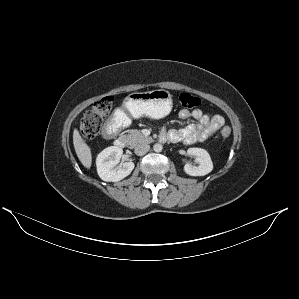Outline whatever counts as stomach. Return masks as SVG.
Masks as SVG:
<instances>
[{
    "instance_id": "obj_1",
    "label": "stomach",
    "mask_w": 299,
    "mask_h": 299,
    "mask_svg": "<svg viewBox=\"0 0 299 299\" xmlns=\"http://www.w3.org/2000/svg\"><path fill=\"white\" fill-rule=\"evenodd\" d=\"M123 109L133 117L149 116L161 119L172 109V96L163 89L129 94L123 102Z\"/></svg>"
}]
</instances>
